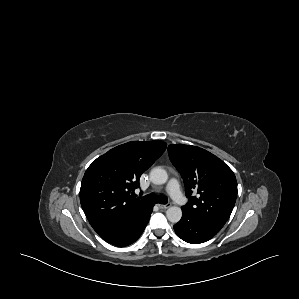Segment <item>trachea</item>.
I'll return each instance as SVG.
<instances>
[{
	"mask_svg": "<svg viewBox=\"0 0 299 299\" xmlns=\"http://www.w3.org/2000/svg\"><path fill=\"white\" fill-rule=\"evenodd\" d=\"M142 199L144 201H147L150 203H159V204H167L168 203V199L165 196H157L153 193L142 197Z\"/></svg>",
	"mask_w": 299,
	"mask_h": 299,
	"instance_id": "3493384b",
	"label": "trachea"
}]
</instances>
